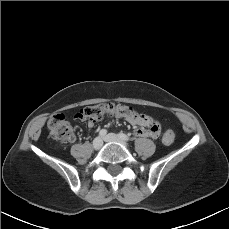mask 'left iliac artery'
I'll return each instance as SVG.
<instances>
[{
    "mask_svg": "<svg viewBox=\"0 0 229 229\" xmlns=\"http://www.w3.org/2000/svg\"><path fill=\"white\" fill-rule=\"evenodd\" d=\"M118 136L123 140H126V141L130 140V137L126 135L125 133L120 132Z\"/></svg>",
    "mask_w": 229,
    "mask_h": 229,
    "instance_id": "left-iliac-artery-1",
    "label": "left iliac artery"
}]
</instances>
